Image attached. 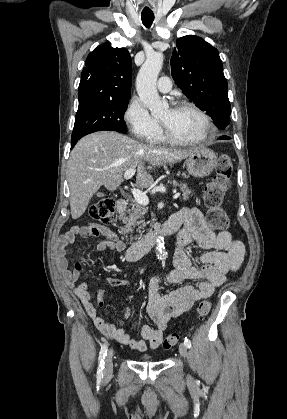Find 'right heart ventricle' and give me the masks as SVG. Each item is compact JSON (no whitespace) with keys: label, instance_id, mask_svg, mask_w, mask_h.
<instances>
[{"label":"right heart ventricle","instance_id":"e07e8e85","mask_svg":"<svg viewBox=\"0 0 287 419\" xmlns=\"http://www.w3.org/2000/svg\"><path fill=\"white\" fill-rule=\"evenodd\" d=\"M151 142L160 143L163 142V137L159 134L156 138H154Z\"/></svg>","mask_w":287,"mask_h":419}]
</instances>
